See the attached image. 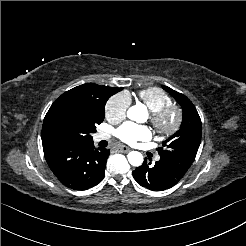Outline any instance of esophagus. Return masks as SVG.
I'll return each mask as SVG.
<instances>
[{
	"label": "esophagus",
	"mask_w": 246,
	"mask_h": 246,
	"mask_svg": "<svg viewBox=\"0 0 246 246\" xmlns=\"http://www.w3.org/2000/svg\"><path fill=\"white\" fill-rule=\"evenodd\" d=\"M117 151L118 152H123V153H128V152H130V149L128 147H126V146H120V147L117 148Z\"/></svg>",
	"instance_id": "1"
}]
</instances>
